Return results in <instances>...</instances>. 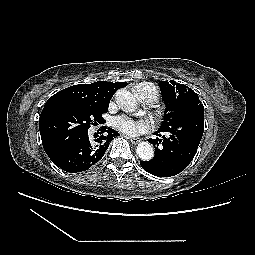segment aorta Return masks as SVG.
<instances>
[{"label":"aorta","instance_id":"obj_1","mask_svg":"<svg viewBox=\"0 0 255 255\" xmlns=\"http://www.w3.org/2000/svg\"><path fill=\"white\" fill-rule=\"evenodd\" d=\"M116 102L125 111L132 112L137 106V100L133 94L125 89L116 92ZM136 153L141 160L149 161L154 157V148L149 142H140L136 147Z\"/></svg>","mask_w":255,"mask_h":255}]
</instances>
